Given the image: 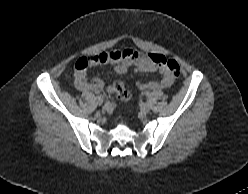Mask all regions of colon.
I'll list each match as a JSON object with an SVG mask.
<instances>
[{
    "label": "colon",
    "mask_w": 248,
    "mask_h": 194,
    "mask_svg": "<svg viewBox=\"0 0 248 194\" xmlns=\"http://www.w3.org/2000/svg\"><path fill=\"white\" fill-rule=\"evenodd\" d=\"M90 57L91 56L80 59L75 64L74 69L68 71V76L75 77L79 71H84L91 66H95L94 62L90 59ZM151 59L156 65L165 67L170 76L176 77L179 75L180 67L179 64L174 59L167 58L163 55H158V54H152ZM111 88L119 100L121 101L130 100L131 94L121 82L113 83Z\"/></svg>",
    "instance_id": "colon-1"
}]
</instances>
